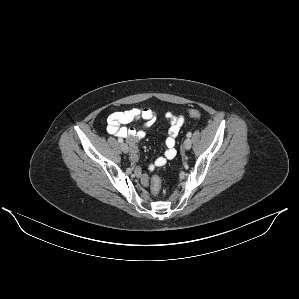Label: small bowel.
I'll list each match as a JSON object with an SVG mask.
<instances>
[{
	"instance_id": "c3829d8e",
	"label": "small bowel",
	"mask_w": 299,
	"mask_h": 299,
	"mask_svg": "<svg viewBox=\"0 0 299 299\" xmlns=\"http://www.w3.org/2000/svg\"><path fill=\"white\" fill-rule=\"evenodd\" d=\"M143 118L146 122L142 129L136 130L133 128H127L125 125L131 123L137 119ZM157 119V115L151 109L133 108L126 111L112 113L106 121V129L108 133L117 136L119 138L126 139L130 147V159L133 162L138 161L137 143L145 137L146 129L151 127ZM166 120L168 122V136L165 139V152L163 156H160L151 163L148 168L153 170L157 167H161L166 164L168 160H172L177 155L176 137L179 134L181 127L184 123L183 116H174L171 113L166 114ZM135 173L144 185H148V175L140 168H136Z\"/></svg>"
}]
</instances>
